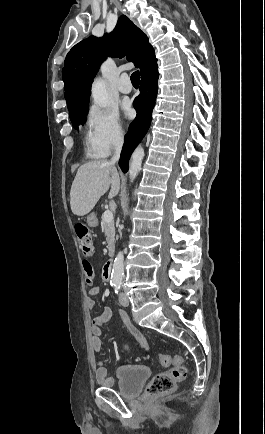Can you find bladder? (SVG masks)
I'll return each instance as SVG.
<instances>
[{
	"label": "bladder",
	"instance_id": "1",
	"mask_svg": "<svg viewBox=\"0 0 265 434\" xmlns=\"http://www.w3.org/2000/svg\"><path fill=\"white\" fill-rule=\"evenodd\" d=\"M151 370L145 365L125 364L116 368L118 393L125 398H135L149 378Z\"/></svg>",
	"mask_w": 265,
	"mask_h": 434
}]
</instances>
